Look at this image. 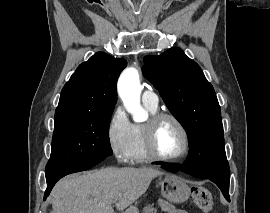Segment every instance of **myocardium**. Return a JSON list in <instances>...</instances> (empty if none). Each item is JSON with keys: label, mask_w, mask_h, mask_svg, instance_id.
Wrapping results in <instances>:
<instances>
[{"label": "myocardium", "mask_w": 270, "mask_h": 213, "mask_svg": "<svg viewBox=\"0 0 270 213\" xmlns=\"http://www.w3.org/2000/svg\"><path fill=\"white\" fill-rule=\"evenodd\" d=\"M165 119L173 121L183 135L184 147L182 152L176 156H164L158 152L155 146V134L157 127ZM143 140L145 150L148 156L153 160L164 162H178L185 159L190 152V136L188 130L183 124V122L172 113L156 112L152 114L148 121L143 125Z\"/></svg>", "instance_id": "obj_1"}]
</instances>
